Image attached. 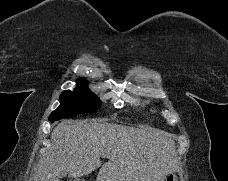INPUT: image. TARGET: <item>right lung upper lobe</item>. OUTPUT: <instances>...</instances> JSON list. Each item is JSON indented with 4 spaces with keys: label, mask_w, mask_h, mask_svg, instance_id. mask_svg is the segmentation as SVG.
Instances as JSON below:
<instances>
[{
    "label": "right lung upper lobe",
    "mask_w": 228,
    "mask_h": 181,
    "mask_svg": "<svg viewBox=\"0 0 228 181\" xmlns=\"http://www.w3.org/2000/svg\"><path fill=\"white\" fill-rule=\"evenodd\" d=\"M84 85H86V81L85 80H78V82H77V86H84Z\"/></svg>",
    "instance_id": "right-lung-upper-lobe-1"
}]
</instances>
